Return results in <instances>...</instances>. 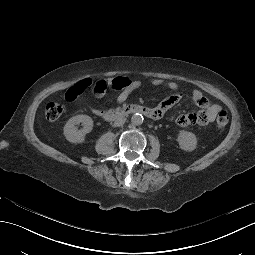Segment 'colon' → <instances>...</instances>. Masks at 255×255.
<instances>
[{"mask_svg": "<svg viewBox=\"0 0 255 255\" xmlns=\"http://www.w3.org/2000/svg\"><path fill=\"white\" fill-rule=\"evenodd\" d=\"M108 80L111 81L112 86L114 88H120L124 84V80L121 77H115L113 79H108ZM91 85H92L91 81L85 80L81 82L80 84H78L77 88L82 89L84 87L91 86ZM63 112H64V107L57 102L48 103L45 109L46 118L51 121L58 119L63 114ZM228 121H229L228 114L224 111H221L216 118L214 129L216 131L223 130L228 124Z\"/></svg>", "mask_w": 255, "mask_h": 255, "instance_id": "5ec220e1", "label": "colon"}]
</instances>
